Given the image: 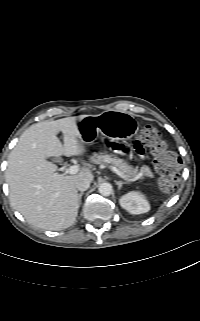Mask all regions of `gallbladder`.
Listing matches in <instances>:
<instances>
[{
    "mask_svg": "<svg viewBox=\"0 0 200 321\" xmlns=\"http://www.w3.org/2000/svg\"><path fill=\"white\" fill-rule=\"evenodd\" d=\"M52 160L55 161V162H60L61 159H59V158H54V159H52Z\"/></svg>",
    "mask_w": 200,
    "mask_h": 321,
    "instance_id": "1",
    "label": "gallbladder"
}]
</instances>
